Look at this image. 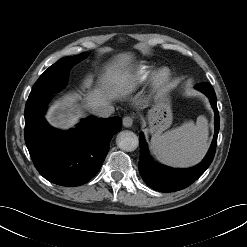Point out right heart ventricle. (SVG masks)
I'll return each instance as SVG.
<instances>
[{"mask_svg":"<svg viewBox=\"0 0 247 247\" xmlns=\"http://www.w3.org/2000/svg\"><path fill=\"white\" fill-rule=\"evenodd\" d=\"M153 72V67L147 64H141L137 67L135 75L133 77L132 86L142 82Z\"/></svg>","mask_w":247,"mask_h":247,"instance_id":"obj_1","label":"right heart ventricle"}]
</instances>
